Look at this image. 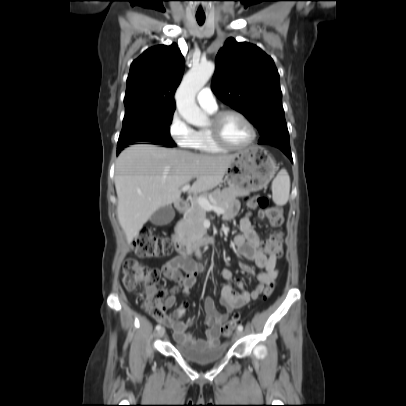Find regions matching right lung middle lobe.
Segmentation results:
<instances>
[{
	"instance_id": "obj_1",
	"label": "right lung middle lobe",
	"mask_w": 406,
	"mask_h": 406,
	"mask_svg": "<svg viewBox=\"0 0 406 406\" xmlns=\"http://www.w3.org/2000/svg\"><path fill=\"white\" fill-rule=\"evenodd\" d=\"M173 113L174 110L152 108L126 109L117 151L136 142L174 147L169 131Z\"/></svg>"
}]
</instances>
